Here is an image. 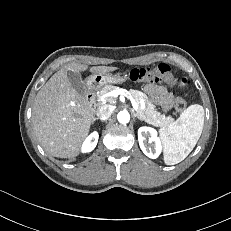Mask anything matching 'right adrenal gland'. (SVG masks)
Segmentation results:
<instances>
[{
    "instance_id": "right-adrenal-gland-1",
    "label": "right adrenal gland",
    "mask_w": 231,
    "mask_h": 231,
    "mask_svg": "<svg viewBox=\"0 0 231 231\" xmlns=\"http://www.w3.org/2000/svg\"><path fill=\"white\" fill-rule=\"evenodd\" d=\"M97 119H98V118H94L93 121H92V123H93L94 121H96Z\"/></svg>"
}]
</instances>
